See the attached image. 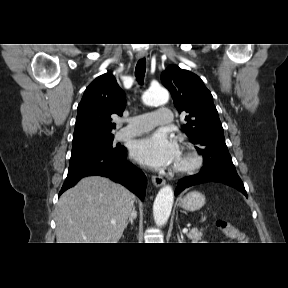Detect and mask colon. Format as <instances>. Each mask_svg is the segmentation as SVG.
Returning a JSON list of instances; mask_svg holds the SVG:
<instances>
[{
	"label": "colon",
	"instance_id": "colon-1",
	"mask_svg": "<svg viewBox=\"0 0 288 288\" xmlns=\"http://www.w3.org/2000/svg\"><path fill=\"white\" fill-rule=\"evenodd\" d=\"M216 226L221 230L226 238L232 241H240L243 239V234L235 228L230 222L227 220H217Z\"/></svg>",
	"mask_w": 288,
	"mask_h": 288
}]
</instances>
